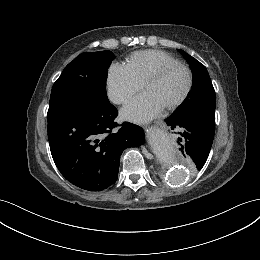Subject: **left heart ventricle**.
Masks as SVG:
<instances>
[{
  "label": "left heart ventricle",
  "mask_w": 260,
  "mask_h": 260,
  "mask_svg": "<svg viewBox=\"0 0 260 260\" xmlns=\"http://www.w3.org/2000/svg\"><path fill=\"white\" fill-rule=\"evenodd\" d=\"M187 82L185 71L178 69L168 74L161 81L149 84L144 90L151 94L165 108L182 95L186 89Z\"/></svg>",
  "instance_id": "1"
}]
</instances>
